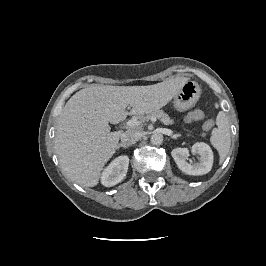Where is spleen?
Listing matches in <instances>:
<instances>
[{
  "label": "spleen",
  "instance_id": "1",
  "mask_svg": "<svg viewBox=\"0 0 266 266\" xmlns=\"http://www.w3.org/2000/svg\"><path fill=\"white\" fill-rule=\"evenodd\" d=\"M217 127L212 130L211 144L218 151L222 163L228 155L231 146L230 126L228 118L223 111H220L216 118Z\"/></svg>",
  "mask_w": 266,
  "mask_h": 266
}]
</instances>
